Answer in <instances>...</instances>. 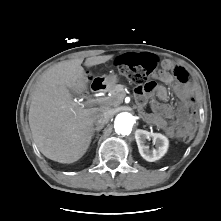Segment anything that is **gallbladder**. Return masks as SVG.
<instances>
[{"mask_svg": "<svg viewBox=\"0 0 221 221\" xmlns=\"http://www.w3.org/2000/svg\"><path fill=\"white\" fill-rule=\"evenodd\" d=\"M69 91L72 95H75V92L72 89H69Z\"/></svg>", "mask_w": 221, "mask_h": 221, "instance_id": "1", "label": "gallbladder"}]
</instances>
